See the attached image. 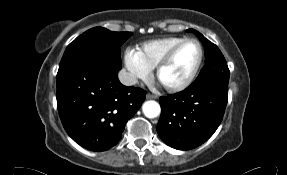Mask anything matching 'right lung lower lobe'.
Returning <instances> with one entry per match:
<instances>
[{"mask_svg": "<svg viewBox=\"0 0 287 175\" xmlns=\"http://www.w3.org/2000/svg\"><path fill=\"white\" fill-rule=\"evenodd\" d=\"M118 71L87 62L57 73V108L63 127L90 151L116 145L127 121L145 100L146 91L122 85Z\"/></svg>", "mask_w": 287, "mask_h": 175, "instance_id": "1", "label": "right lung lower lobe"}]
</instances>
